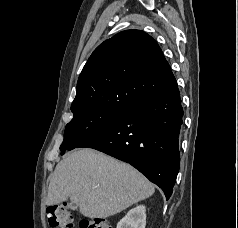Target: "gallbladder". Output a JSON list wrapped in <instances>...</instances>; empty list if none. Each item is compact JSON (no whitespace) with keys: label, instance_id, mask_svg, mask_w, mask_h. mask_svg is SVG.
Instances as JSON below:
<instances>
[{"label":"gallbladder","instance_id":"bac80fb5","mask_svg":"<svg viewBox=\"0 0 238 228\" xmlns=\"http://www.w3.org/2000/svg\"><path fill=\"white\" fill-rule=\"evenodd\" d=\"M70 208H71V209H73V210H75V209H77V205H76V204H73V203H71V205H70Z\"/></svg>","mask_w":238,"mask_h":228}]
</instances>
